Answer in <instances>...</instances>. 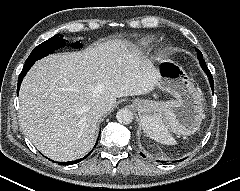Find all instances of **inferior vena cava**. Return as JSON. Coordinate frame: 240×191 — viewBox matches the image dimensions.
<instances>
[{
    "label": "inferior vena cava",
    "instance_id": "obj_1",
    "mask_svg": "<svg viewBox=\"0 0 240 191\" xmlns=\"http://www.w3.org/2000/svg\"><path fill=\"white\" fill-rule=\"evenodd\" d=\"M95 109L99 113H105L108 110V104L105 101H99L98 103H96Z\"/></svg>",
    "mask_w": 240,
    "mask_h": 191
}]
</instances>
